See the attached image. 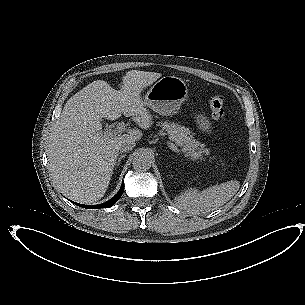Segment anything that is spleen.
Segmentation results:
<instances>
[{"label":"spleen","mask_w":305,"mask_h":305,"mask_svg":"<svg viewBox=\"0 0 305 305\" xmlns=\"http://www.w3.org/2000/svg\"><path fill=\"white\" fill-rule=\"evenodd\" d=\"M235 181H228L220 185H215L198 191L188 189L176 198L179 208L191 214H206L221 207L231 198V187Z\"/></svg>","instance_id":"spleen-1"}]
</instances>
